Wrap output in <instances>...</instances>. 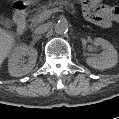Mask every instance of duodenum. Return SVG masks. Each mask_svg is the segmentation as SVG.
Instances as JSON below:
<instances>
[{
	"label": "duodenum",
	"mask_w": 119,
	"mask_h": 119,
	"mask_svg": "<svg viewBox=\"0 0 119 119\" xmlns=\"http://www.w3.org/2000/svg\"><path fill=\"white\" fill-rule=\"evenodd\" d=\"M27 13H28L27 7L24 4L19 3L16 6L15 12H14V20L17 24V33L18 34H23L26 31Z\"/></svg>",
	"instance_id": "1"
}]
</instances>
